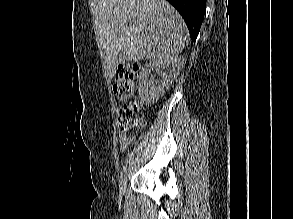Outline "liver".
Returning a JSON list of instances; mask_svg holds the SVG:
<instances>
[{
  "instance_id": "1",
  "label": "liver",
  "mask_w": 293,
  "mask_h": 219,
  "mask_svg": "<svg viewBox=\"0 0 293 219\" xmlns=\"http://www.w3.org/2000/svg\"><path fill=\"white\" fill-rule=\"evenodd\" d=\"M94 16L110 78L119 52L130 61L168 57L178 55L188 39L185 22L166 0H98Z\"/></svg>"
}]
</instances>
